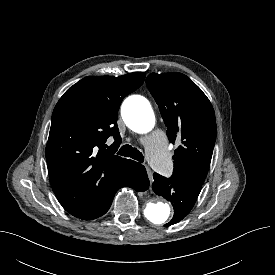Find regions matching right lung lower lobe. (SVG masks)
Listing matches in <instances>:
<instances>
[{"instance_id": "obj_1", "label": "right lung lower lobe", "mask_w": 275, "mask_h": 275, "mask_svg": "<svg viewBox=\"0 0 275 275\" xmlns=\"http://www.w3.org/2000/svg\"><path fill=\"white\" fill-rule=\"evenodd\" d=\"M123 186L131 187L137 191H145L148 189L149 179L145 167L137 162L130 163L108 199L85 219H95L104 215L110 208L116 191Z\"/></svg>"}]
</instances>
